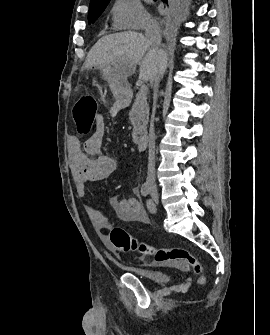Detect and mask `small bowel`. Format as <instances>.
Masks as SVG:
<instances>
[{
    "label": "small bowel",
    "instance_id": "1",
    "mask_svg": "<svg viewBox=\"0 0 270 335\" xmlns=\"http://www.w3.org/2000/svg\"><path fill=\"white\" fill-rule=\"evenodd\" d=\"M105 134V121L98 115L94 131L81 145L80 141L72 137L69 147V167L79 197H86V185L88 183L102 181L109 178L118 168V162L101 153V147ZM134 197L122 198L118 195L110 197V204L118 219L124 222L147 223L148 215L143 204L136 198L139 189H132ZM87 213L95 229L105 234L112 226L108 216L101 210L90 205L86 206Z\"/></svg>",
    "mask_w": 270,
    "mask_h": 335
}]
</instances>
